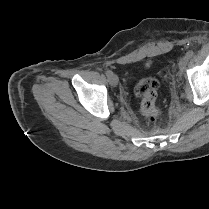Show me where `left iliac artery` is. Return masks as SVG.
I'll return each instance as SVG.
<instances>
[{
	"instance_id": "44dca946",
	"label": "left iliac artery",
	"mask_w": 209,
	"mask_h": 209,
	"mask_svg": "<svg viewBox=\"0 0 209 209\" xmlns=\"http://www.w3.org/2000/svg\"><path fill=\"white\" fill-rule=\"evenodd\" d=\"M194 56V52L192 50H189L187 53H186V57L188 59H191L192 57Z\"/></svg>"
}]
</instances>
